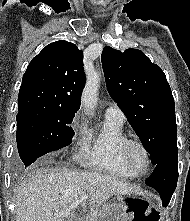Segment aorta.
I'll return each instance as SVG.
<instances>
[{"instance_id":"aorta-1","label":"aorta","mask_w":190,"mask_h":221,"mask_svg":"<svg viewBox=\"0 0 190 221\" xmlns=\"http://www.w3.org/2000/svg\"><path fill=\"white\" fill-rule=\"evenodd\" d=\"M100 74L97 72L91 73L87 77L85 88L81 95V104L87 111L88 115H93L97 105V92L99 87Z\"/></svg>"}]
</instances>
